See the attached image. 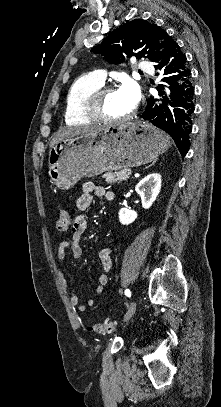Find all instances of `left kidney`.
Here are the masks:
<instances>
[{
  "label": "left kidney",
  "instance_id": "1",
  "mask_svg": "<svg viewBox=\"0 0 221 407\" xmlns=\"http://www.w3.org/2000/svg\"><path fill=\"white\" fill-rule=\"evenodd\" d=\"M161 190V176L158 173H152L143 178L135 187L139 194L142 207L148 209L152 206ZM137 218V213L127 208H121L119 211V221L123 225H129Z\"/></svg>",
  "mask_w": 221,
  "mask_h": 407
}]
</instances>
